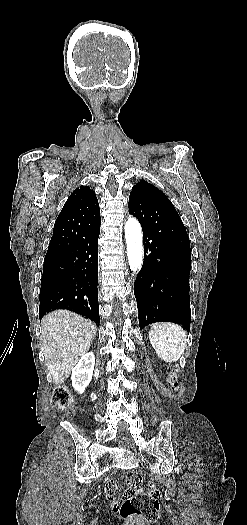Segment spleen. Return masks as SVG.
<instances>
[{
	"label": "spleen",
	"instance_id": "spleen-1",
	"mask_svg": "<svg viewBox=\"0 0 247 525\" xmlns=\"http://www.w3.org/2000/svg\"><path fill=\"white\" fill-rule=\"evenodd\" d=\"M150 327V343L158 357L165 363L179 361L187 347L186 331L174 323H154Z\"/></svg>",
	"mask_w": 247,
	"mask_h": 525
}]
</instances>
